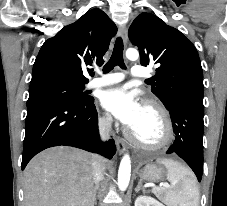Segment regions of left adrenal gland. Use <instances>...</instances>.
Instances as JSON below:
<instances>
[{"mask_svg": "<svg viewBox=\"0 0 227 206\" xmlns=\"http://www.w3.org/2000/svg\"><path fill=\"white\" fill-rule=\"evenodd\" d=\"M142 190L143 192L145 189L142 187V180H139L137 187L135 188V192H138L139 190Z\"/></svg>", "mask_w": 227, "mask_h": 206, "instance_id": "obj_1", "label": "left adrenal gland"}]
</instances>
